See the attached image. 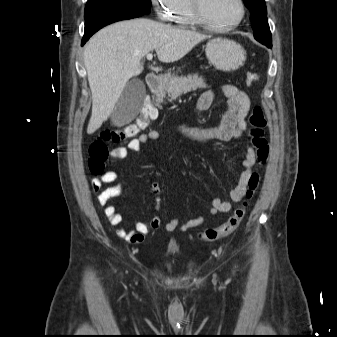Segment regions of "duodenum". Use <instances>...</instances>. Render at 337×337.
Wrapping results in <instances>:
<instances>
[{
  "mask_svg": "<svg viewBox=\"0 0 337 337\" xmlns=\"http://www.w3.org/2000/svg\"><path fill=\"white\" fill-rule=\"evenodd\" d=\"M146 82L151 90H157L161 85V78L157 73L151 72L147 75Z\"/></svg>",
  "mask_w": 337,
  "mask_h": 337,
  "instance_id": "duodenum-1",
  "label": "duodenum"
}]
</instances>
